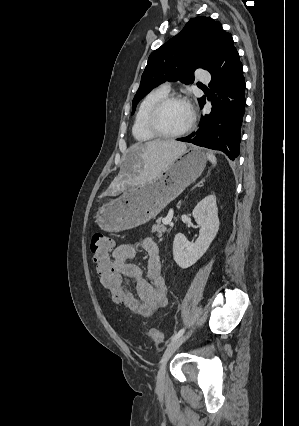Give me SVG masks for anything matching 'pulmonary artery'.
I'll use <instances>...</instances> for the list:
<instances>
[{"label":"pulmonary artery","mask_w":299,"mask_h":426,"mask_svg":"<svg viewBox=\"0 0 299 426\" xmlns=\"http://www.w3.org/2000/svg\"><path fill=\"white\" fill-rule=\"evenodd\" d=\"M198 79H199L200 81H203V82H208V81H209V79H210V76H209L207 73H202V74H200V75H199ZM163 87H164L165 89L169 90V89H170V84H169V83H165V84L163 85Z\"/></svg>","instance_id":"pulmonary-artery-1"}]
</instances>
